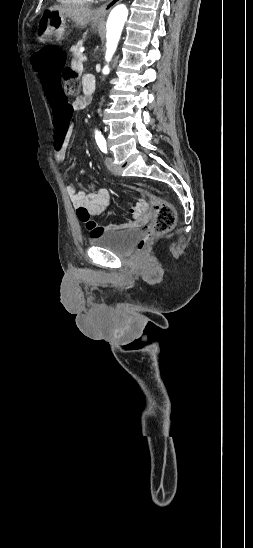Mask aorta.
Here are the masks:
<instances>
[{
    "mask_svg": "<svg viewBox=\"0 0 253 548\" xmlns=\"http://www.w3.org/2000/svg\"><path fill=\"white\" fill-rule=\"evenodd\" d=\"M127 17H128V9L123 4H120L114 7L109 14L107 25H106V39H107V43H106L107 50L105 55L106 62H109L111 60V58L113 57L116 51V48L124 27V23L127 20ZM108 73H109V68L106 65L103 69V74H108ZM100 136H101L100 133L96 132V137L98 138Z\"/></svg>",
    "mask_w": 253,
    "mask_h": 548,
    "instance_id": "aorta-1",
    "label": "aorta"
}]
</instances>
